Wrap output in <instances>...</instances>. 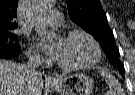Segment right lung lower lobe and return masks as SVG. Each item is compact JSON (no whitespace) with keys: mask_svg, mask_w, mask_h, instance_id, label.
<instances>
[{"mask_svg":"<svg viewBox=\"0 0 135 95\" xmlns=\"http://www.w3.org/2000/svg\"><path fill=\"white\" fill-rule=\"evenodd\" d=\"M20 54V48L15 50L0 51V58H13Z\"/></svg>","mask_w":135,"mask_h":95,"instance_id":"1","label":"right lung lower lobe"}]
</instances>
